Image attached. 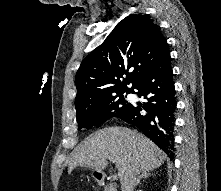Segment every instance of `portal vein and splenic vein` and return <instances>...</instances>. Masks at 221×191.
<instances>
[{"label": "portal vein and splenic vein", "mask_w": 221, "mask_h": 191, "mask_svg": "<svg viewBox=\"0 0 221 191\" xmlns=\"http://www.w3.org/2000/svg\"><path fill=\"white\" fill-rule=\"evenodd\" d=\"M108 159H109L110 161L115 162V160H114L113 158H111V157H108ZM115 179H116V177H115Z\"/></svg>", "instance_id": "1"}]
</instances>
